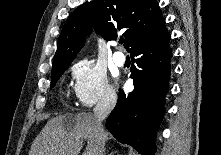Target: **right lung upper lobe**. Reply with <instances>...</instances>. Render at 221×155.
Here are the masks:
<instances>
[{"instance_id":"right-lung-upper-lobe-1","label":"right lung upper lobe","mask_w":221,"mask_h":155,"mask_svg":"<svg viewBox=\"0 0 221 155\" xmlns=\"http://www.w3.org/2000/svg\"><path fill=\"white\" fill-rule=\"evenodd\" d=\"M164 23L156 0H94L79 6L66 20L58 39L52 70L71 64L92 28L106 40L123 31L129 50L144 34Z\"/></svg>"}]
</instances>
